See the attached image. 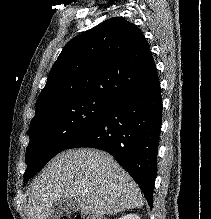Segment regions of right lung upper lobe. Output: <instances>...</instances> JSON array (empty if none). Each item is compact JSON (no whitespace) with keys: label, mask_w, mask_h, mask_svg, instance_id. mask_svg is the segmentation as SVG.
Masks as SVG:
<instances>
[{"label":"right lung upper lobe","mask_w":211,"mask_h":219,"mask_svg":"<svg viewBox=\"0 0 211 219\" xmlns=\"http://www.w3.org/2000/svg\"><path fill=\"white\" fill-rule=\"evenodd\" d=\"M155 73L142 32L122 17L110 18L65 45L37 100L34 118L77 98L114 102L147 83Z\"/></svg>","instance_id":"right-lung-upper-lobe-1"}]
</instances>
